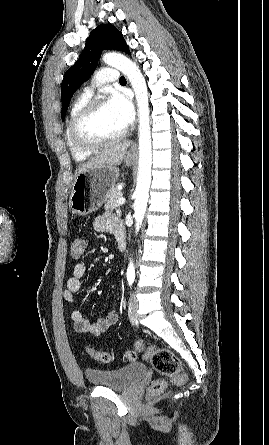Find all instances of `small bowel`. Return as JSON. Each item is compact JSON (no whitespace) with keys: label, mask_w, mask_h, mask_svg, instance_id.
Here are the masks:
<instances>
[{"label":"small bowel","mask_w":269,"mask_h":445,"mask_svg":"<svg viewBox=\"0 0 269 445\" xmlns=\"http://www.w3.org/2000/svg\"><path fill=\"white\" fill-rule=\"evenodd\" d=\"M93 229L96 232H108L115 236L120 231H125L122 222L111 213H104L96 217L93 221ZM86 274V266L83 263H77L73 266L72 275L67 280L66 289L63 292V299L68 303L75 302L76 294L82 289V279ZM109 288L116 290L115 285L111 284ZM73 327L76 332L99 335L117 323L118 313L113 309L110 310L103 318L90 322L86 319L79 309H74L70 314Z\"/></svg>","instance_id":"obj_1"}]
</instances>
